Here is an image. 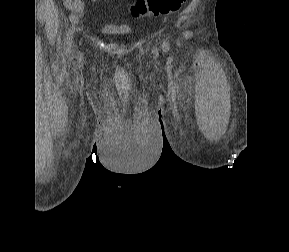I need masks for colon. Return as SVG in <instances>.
<instances>
[{
  "label": "colon",
  "mask_w": 289,
  "mask_h": 252,
  "mask_svg": "<svg viewBox=\"0 0 289 252\" xmlns=\"http://www.w3.org/2000/svg\"><path fill=\"white\" fill-rule=\"evenodd\" d=\"M185 0H136L130 13L133 17L164 16L177 12Z\"/></svg>",
  "instance_id": "5ec220e1"
}]
</instances>
